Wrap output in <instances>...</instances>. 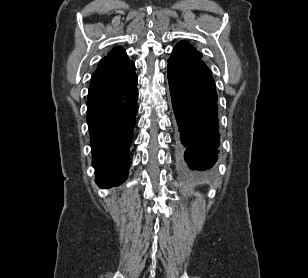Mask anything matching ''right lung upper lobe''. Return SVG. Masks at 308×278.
<instances>
[{"mask_svg":"<svg viewBox=\"0 0 308 278\" xmlns=\"http://www.w3.org/2000/svg\"><path fill=\"white\" fill-rule=\"evenodd\" d=\"M134 72V63L127 58L124 49L115 47L101 59L92 75L89 89L120 85L127 81Z\"/></svg>","mask_w":308,"mask_h":278,"instance_id":"1","label":"right lung upper lobe"}]
</instances>
